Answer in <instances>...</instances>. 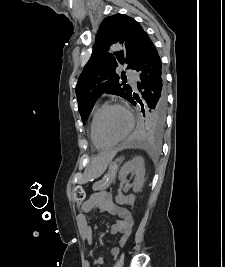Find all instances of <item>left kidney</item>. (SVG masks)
<instances>
[{
    "label": "left kidney",
    "mask_w": 225,
    "mask_h": 267,
    "mask_svg": "<svg viewBox=\"0 0 225 267\" xmlns=\"http://www.w3.org/2000/svg\"><path fill=\"white\" fill-rule=\"evenodd\" d=\"M130 173L135 175L133 191L140 192L142 190L145 177L144 159L142 157H135L126 162L119 172V180L124 181ZM115 201L120 205H132L135 201V196H123L122 194H119L116 196Z\"/></svg>",
    "instance_id": "1"
}]
</instances>
